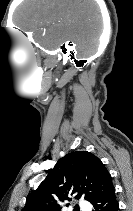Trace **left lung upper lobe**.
Returning <instances> with one entry per match:
<instances>
[{"instance_id":"1","label":"left lung upper lobe","mask_w":133,"mask_h":211,"mask_svg":"<svg viewBox=\"0 0 133 211\" xmlns=\"http://www.w3.org/2000/svg\"><path fill=\"white\" fill-rule=\"evenodd\" d=\"M46 179L31 192L22 211H60V203L84 195L90 203L106 193L113 183L105 165L92 153L77 151L60 158ZM74 211H79L75 206Z\"/></svg>"}]
</instances>
